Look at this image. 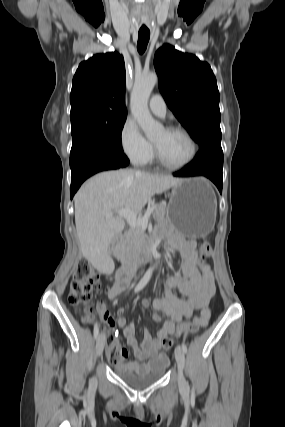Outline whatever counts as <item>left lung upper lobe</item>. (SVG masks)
<instances>
[{"label": "left lung upper lobe", "instance_id": "1", "mask_svg": "<svg viewBox=\"0 0 285 427\" xmlns=\"http://www.w3.org/2000/svg\"><path fill=\"white\" fill-rule=\"evenodd\" d=\"M154 66L168 107L200 150L221 148L219 91L210 65L165 44Z\"/></svg>", "mask_w": 285, "mask_h": 427}]
</instances>
